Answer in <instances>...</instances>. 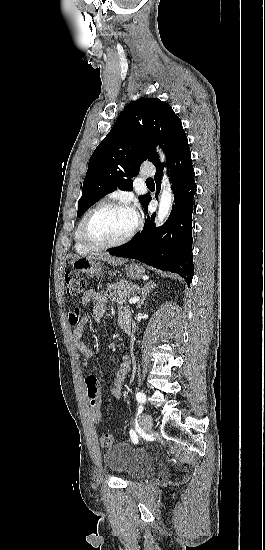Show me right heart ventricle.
<instances>
[{"instance_id": "e07e8e85", "label": "right heart ventricle", "mask_w": 265, "mask_h": 550, "mask_svg": "<svg viewBox=\"0 0 265 550\" xmlns=\"http://www.w3.org/2000/svg\"><path fill=\"white\" fill-rule=\"evenodd\" d=\"M94 207H95V206H94ZM92 208H93V207H92ZM92 208H91V209H92ZM89 210H90V209H89ZM89 210H88V211H89ZM88 211H87V212H88ZM87 212H86V213H87ZM86 213H85V215H86ZM85 215H84V216H85ZM84 216H83V217H84ZM83 217H82V219H83ZM82 219H81V220H82ZM81 220L79 221V223H78V225H77V227H76V229H75V233H74L75 250H76L78 253H80V254H86V253L90 252L92 249L86 247V246L81 242V240H80V236H79V226H80Z\"/></svg>"}]
</instances>
